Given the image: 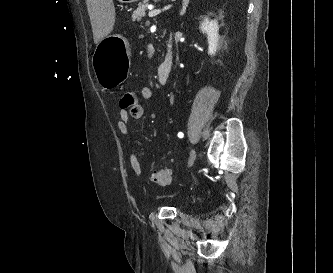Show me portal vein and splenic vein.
<instances>
[{"mask_svg": "<svg viewBox=\"0 0 333 273\" xmlns=\"http://www.w3.org/2000/svg\"><path fill=\"white\" fill-rule=\"evenodd\" d=\"M169 8H170V6H166V7H164L162 10H160V9H154V10H151V11H149L148 16H149V17H155V16H157L158 14H160L161 11L168 10Z\"/></svg>", "mask_w": 333, "mask_h": 273, "instance_id": "18ae733b", "label": "portal vein and splenic vein"}]
</instances>
